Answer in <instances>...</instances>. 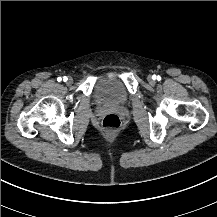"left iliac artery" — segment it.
I'll use <instances>...</instances> for the list:
<instances>
[{"mask_svg":"<svg viewBox=\"0 0 217 217\" xmlns=\"http://www.w3.org/2000/svg\"><path fill=\"white\" fill-rule=\"evenodd\" d=\"M154 77L156 78V76L154 75ZM161 79V77L158 75L157 76V80H160Z\"/></svg>","mask_w":217,"mask_h":217,"instance_id":"1","label":"left iliac artery"}]
</instances>
